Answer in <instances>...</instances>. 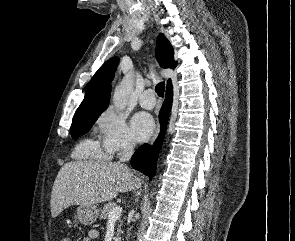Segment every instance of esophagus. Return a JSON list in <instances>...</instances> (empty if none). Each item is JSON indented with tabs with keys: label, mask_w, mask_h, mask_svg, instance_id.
Wrapping results in <instances>:
<instances>
[{
	"label": "esophagus",
	"mask_w": 295,
	"mask_h": 241,
	"mask_svg": "<svg viewBox=\"0 0 295 241\" xmlns=\"http://www.w3.org/2000/svg\"><path fill=\"white\" fill-rule=\"evenodd\" d=\"M159 131H160V125L158 123L157 124V128H156V130H155V132H154V134H153V136H152V138L150 140V144H153L154 143L155 139L157 138V136L159 134Z\"/></svg>",
	"instance_id": "34e87169"
}]
</instances>
